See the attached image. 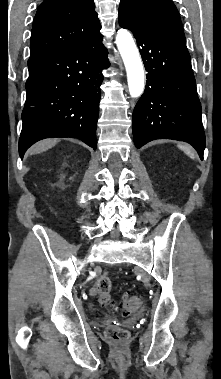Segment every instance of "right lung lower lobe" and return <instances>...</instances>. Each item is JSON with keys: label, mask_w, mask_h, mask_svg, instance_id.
<instances>
[{"label": "right lung lower lobe", "mask_w": 221, "mask_h": 379, "mask_svg": "<svg viewBox=\"0 0 221 379\" xmlns=\"http://www.w3.org/2000/svg\"><path fill=\"white\" fill-rule=\"evenodd\" d=\"M99 30L75 46L28 63L21 158L32 144L50 137L78 138L96 149L102 71L110 65Z\"/></svg>", "instance_id": "obj_1"}]
</instances>
